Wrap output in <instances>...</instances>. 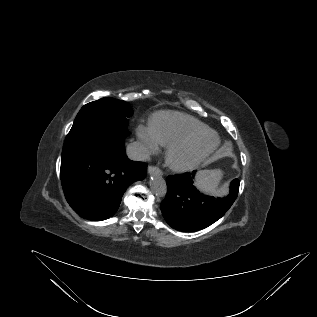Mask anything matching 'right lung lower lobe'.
<instances>
[{
    "label": "right lung lower lobe",
    "instance_id": "obj_1",
    "mask_svg": "<svg viewBox=\"0 0 317 317\" xmlns=\"http://www.w3.org/2000/svg\"><path fill=\"white\" fill-rule=\"evenodd\" d=\"M124 140L122 136L103 135L61 159L65 198L81 217L100 221L113 216L126 188L145 178L147 165L128 159Z\"/></svg>",
    "mask_w": 317,
    "mask_h": 317
}]
</instances>
